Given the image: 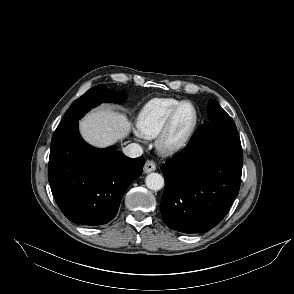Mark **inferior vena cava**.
<instances>
[{
	"label": "inferior vena cava",
	"instance_id": "1",
	"mask_svg": "<svg viewBox=\"0 0 294 294\" xmlns=\"http://www.w3.org/2000/svg\"><path fill=\"white\" fill-rule=\"evenodd\" d=\"M123 153L130 158H136L140 157L143 154V149L140 145L136 143H131L123 148Z\"/></svg>",
	"mask_w": 294,
	"mask_h": 294
}]
</instances>
